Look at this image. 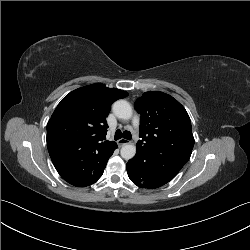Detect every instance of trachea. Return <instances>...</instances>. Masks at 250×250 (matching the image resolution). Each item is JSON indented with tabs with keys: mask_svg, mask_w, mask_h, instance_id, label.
<instances>
[{
	"mask_svg": "<svg viewBox=\"0 0 250 250\" xmlns=\"http://www.w3.org/2000/svg\"><path fill=\"white\" fill-rule=\"evenodd\" d=\"M122 137L125 138V139H127V140H131L132 135H131V133L128 132V131L121 132V130H117V131L115 132L114 139H115V140H118V139H121Z\"/></svg>",
	"mask_w": 250,
	"mask_h": 250,
	"instance_id": "3493384b",
	"label": "trachea"
}]
</instances>
